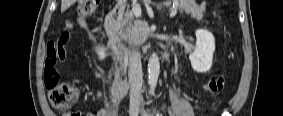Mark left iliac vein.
<instances>
[{"mask_svg": "<svg viewBox=\"0 0 283 116\" xmlns=\"http://www.w3.org/2000/svg\"><path fill=\"white\" fill-rule=\"evenodd\" d=\"M142 113H143L145 116H149L148 113H147V111H145V110H142Z\"/></svg>", "mask_w": 283, "mask_h": 116, "instance_id": "4c4485c4", "label": "left iliac vein"}]
</instances>
